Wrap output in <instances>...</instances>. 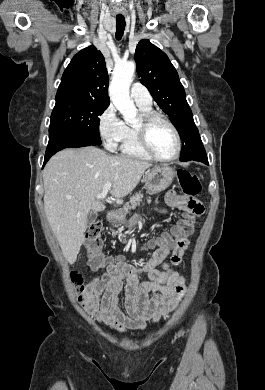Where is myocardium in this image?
Returning a JSON list of instances; mask_svg holds the SVG:
<instances>
[{"label": "myocardium", "mask_w": 265, "mask_h": 390, "mask_svg": "<svg viewBox=\"0 0 265 390\" xmlns=\"http://www.w3.org/2000/svg\"><path fill=\"white\" fill-rule=\"evenodd\" d=\"M157 121H161V122L165 123L167 126H169V128L172 130V132L175 136L176 149H175L174 154L169 158H163V157L159 156L152 149V147L149 143V128L151 127V125L153 123H155ZM135 130H136V133L138 136L140 146L145 151V153L147 155H149L152 159L159 161V162H172L179 157L180 152H181V148H182V142H181V137H180L179 131L176 128V126L172 123V121H170L164 115L157 113V112H154V111L143 113L141 115L140 121L135 125Z\"/></svg>", "instance_id": "obj_1"}]
</instances>
